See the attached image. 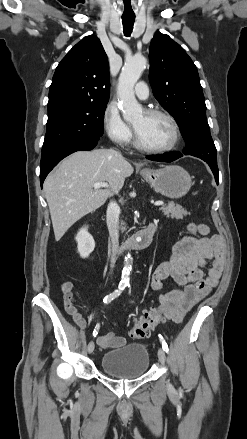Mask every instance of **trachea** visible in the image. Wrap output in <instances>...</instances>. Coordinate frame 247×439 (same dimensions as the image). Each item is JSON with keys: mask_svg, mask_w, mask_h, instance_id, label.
<instances>
[{"mask_svg": "<svg viewBox=\"0 0 247 439\" xmlns=\"http://www.w3.org/2000/svg\"><path fill=\"white\" fill-rule=\"evenodd\" d=\"M134 21H135V16H127V17L123 16L122 17V23H123V29H124L125 36H130V34L133 30Z\"/></svg>", "mask_w": 247, "mask_h": 439, "instance_id": "trachea-1", "label": "trachea"}]
</instances>
